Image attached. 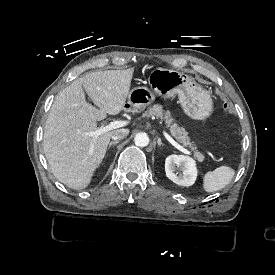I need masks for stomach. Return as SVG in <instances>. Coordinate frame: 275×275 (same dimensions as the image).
Listing matches in <instances>:
<instances>
[{
  "mask_svg": "<svg viewBox=\"0 0 275 275\" xmlns=\"http://www.w3.org/2000/svg\"><path fill=\"white\" fill-rule=\"evenodd\" d=\"M148 87H135L128 93V101L123 104L125 112H141L155 100V94L164 98L178 95L184 112L193 119H205L213 112V100L209 91L194 79L176 70L148 67L143 72Z\"/></svg>",
  "mask_w": 275,
  "mask_h": 275,
  "instance_id": "0dacf381",
  "label": "stomach"
}]
</instances>
